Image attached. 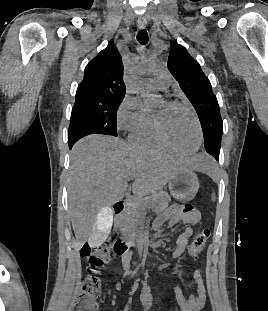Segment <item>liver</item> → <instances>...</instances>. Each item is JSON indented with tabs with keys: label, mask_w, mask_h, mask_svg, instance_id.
<instances>
[{
	"label": "liver",
	"mask_w": 268,
	"mask_h": 311,
	"mask_svg": "<svg viewBox=\"0 0 268 311\" xmlns=\"http://www.w3.org/2000/svg\"><path fill=\"white\" fill-rule=\"evenodd\" d=\"M209 158L190 159L140 150L118 137L93 134L79 140L71 150L68 197L72 228L77 244L96 235L98 218L105 207L121 201L127 180L135 179L132 192L138 197L157 194L179 171H205Z\"/></svg>",
	"instance_id": "obj_1"
}]
</instances>
